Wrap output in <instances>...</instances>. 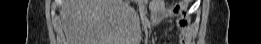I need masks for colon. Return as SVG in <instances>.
I'll use <instances>...</instances> for the list:
<instances>
[{
	"label": "colon",
	"instance_id": "colon-1",
	"mask_svg": "<svg viewBox=\"0 0 261 44\" xmlns=\"http://www.w3.org/2000/svg\"><path fill=\"white\" fill-rule=\"evenodd\" d=\"M174 6H189L188 0L174 1Z\"/></svg>",
	"mask_w": 261,
	"mask_h": 44
}]
</instances>
